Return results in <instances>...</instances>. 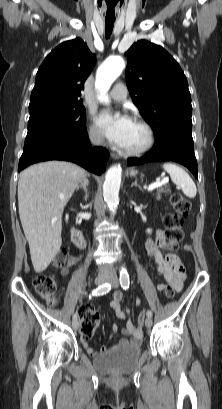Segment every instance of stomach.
Returning a JSON list of instances; mask_svg holds the SVG:
<instances>
[{
  "label": "stomach",
  "instance_id": "stomach-1",
  "mask_svg": "<svg viewBox=\"0 0 222 409\" xmlns=\"http://www.w3.org/2000/svg\"><path fill=\"white\" fill-rule=\"evenodd\" d=\"M136 173H137V171H135V170L131 171V175H133V176L136 175Z\"/></svg>",
  "mask_w": 222,
  "mask_h": 409
}]
</instances>
